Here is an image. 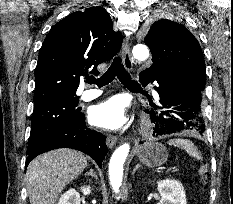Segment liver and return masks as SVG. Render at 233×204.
I'll list each match as a JSON object with an SVG mask.
<instances>
[{"label": "liver", "mask_w": 233, "mask_h": 204, "mask_svg": "<svg viewBox=\"0 0 233 204\" xmlns=\"http://www.w3.org/2000/svg\"><path fill=\"white\" fill-rule=\"evenodd\" d=\"M86 166L85 156L72 149H57L36 157L26 173L30 204H55L64 187Z\"/></svg>", "instance_id": "liver-1"}]
</instances>
